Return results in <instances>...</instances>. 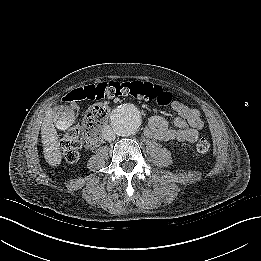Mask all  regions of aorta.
Masks as SVG:
<instances>
[{
    "label": "aorta",
    "mask_w": 261,
    "mask_h": 261,
    "mask_svg": "<svg viewBox=\"0 0 261 261\" xmlns=\"http://www.w3.org/2000/svg\"><path fill=\"white\" fill-rule=\"evenodd\" d=\"M110 119L113 130L119 136H129L139 129L142 115L135 104L124 103L112 111Z\"/></svg>",
    "instance_id": "aorta-1"
}]
</instances>
